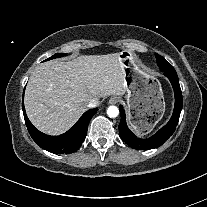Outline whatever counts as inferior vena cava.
Returning a JSON list of instances; mask_svg holds the SVG:
<instances>
[{
	"label": "inferior vena cava",
	"instance_id": "obj_1",
	"mask_svg": "<svg viewBox=\"0 0 207 207\" xmlns=\"http://www.w3.org/2000/svg\"><path fill=\"white\" fill-rule=\"evenodd\" d=\"M100 104V101L98 100V99H96V98H93V99H91L90 101H89V103H88V107L89 108H95V107H97L98 105Z\"/></svg>",
	"mask_w": 207,
	"mask_h": 207
}]
</instances>
